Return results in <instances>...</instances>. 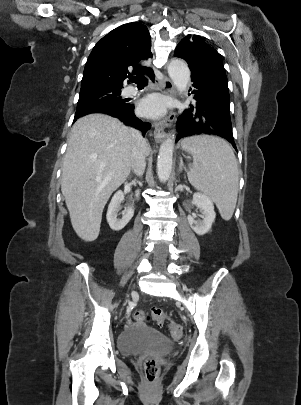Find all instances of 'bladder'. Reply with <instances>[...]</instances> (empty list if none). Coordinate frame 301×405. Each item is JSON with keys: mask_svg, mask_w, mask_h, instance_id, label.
<instances>
[{"mask_svg": "<svg viewBox=\"0 0 301 405\" xmlns=\"http://www.w3.org/2000/svg\"><path fill=\"white\" fill-rule=\"evenodd\" d=\"M118 348L125 355L153 353L164 356L173 350V344L157 330L137 324L120 334Z\"/></svg>", "mask_w": 301, "mask_h": 405, "instance_id": "31cf9c89", "label": "bladder"}]
</instances>
